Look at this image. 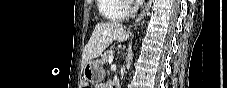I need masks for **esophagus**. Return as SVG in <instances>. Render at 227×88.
Segmentation results:
<instances>
[{"label": "esophagus", "mask_w": 227, "mask_h": 88, "mask_svg": "<svg viewBox=\"0 0 227 88\" xmlns=\"http://www.w3.org/2000/svg\"><path fill=\"white\" fill-rule=\"evenodd\" d=\"M152 0H149L145 6V9L139 14V16L136 19V23L140 22L144 16L146 15L147 11L149 10L150 6H151Z\"/></svg>", "instance_id": "obj_1"}]
</instances>
